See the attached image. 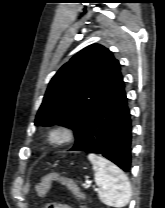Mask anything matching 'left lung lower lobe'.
Instances as JSON below:
<instances>
[{
    "mask_svg": "<svg viewBox=\"0 0 165 208\" xmlns=\"http://www.w3.org/2000/svg\"><path fill=\"white\" fill-rule=\"evenodd\" d=\"M120 76L94 111L70 151L100 153L123 171L131 168L132 125L128 99Z\"/></svg>",
    "mask_w": 165,
    "mask_h": 208,
    "instance_id": "1",
    "label": "left lung lower lobe"
}]
</instances>
